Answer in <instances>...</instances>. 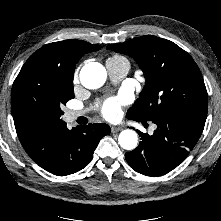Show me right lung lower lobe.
<instances>
[{"label":"right lung lower lobe","instance_id":"obj_1","mask_svg":"<svg viewBox=\"0 0 221 221\" xmlns=\"http://www.w3.org/2000/svg\"><path fill=\"white\" fill-rule=\"evenodd\" d=\"M110 133L104 123L69 130L63 122L57 126L35 127L19 135V140L40 167L58 175H70L91 161L99 140Z\"/></svg>","mask_w":221,"mask_h":221}]
</instances>
